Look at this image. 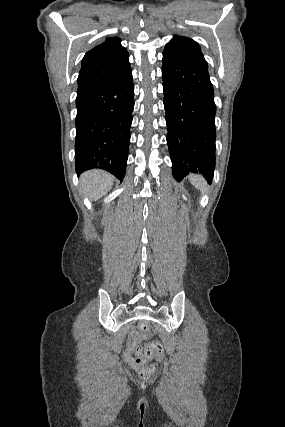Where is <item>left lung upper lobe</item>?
Returning <instances> with one entry per match:
<instances>
[{
    "label": "left lung upper lobe",
    "instance_id": "5c2ea615",
    "mask_svg": "<svg viewBox=\"0 0 285 427\" xmlns=\"http://www.w3.org/2000/svg\"><path fill=\"white\" fill-rule=\"evenodd\" d=\"M164 54L188 56L206 62L198 43L183 36H174L166 44L163 55Z\"/></svg>",
    "mask_w": 285,
    "mask_h": 427
}]
</instances>
